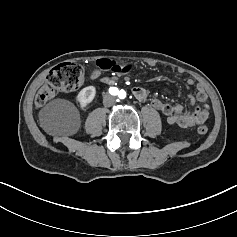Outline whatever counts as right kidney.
Wrapping results in <instances>:
<instances>
[{
  "mask_svg": "<svg viewBox=\"0 0 237 237\" xmlns=\"http://www.w3.org/2000/svg\"><path fill=\"white\" fill-rule=\"evenodd\" d=\"M95 94L96 89L94 86L85 87L79 92L77 95V101L80 103L82 109L93 101Z\"/></svg>",
  "mask_w": 237,
  "mask_h": 237,
  "instance_id": "obj_1",
  "label": "right kidney"
}]
</instances>
